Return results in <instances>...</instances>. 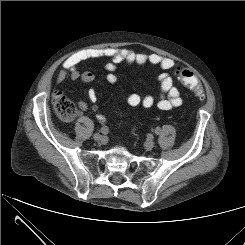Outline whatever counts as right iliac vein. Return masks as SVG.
<instances>
[{"instance_id": "63e3f726", "label": "right iliac vein", "mask_w": 245, "mask_h": 245, "mask_svg": "<svg viewBox=\"0 0 245 245\" xmlns=\"http://www.w3.org/2000/svg\"><path fill=\"white\" fill-rule=\"evenodd\" d=\"M93 138L97 142H103L105 140V137L99 133L94 134Z\"/></svg>"}]
</instances>
